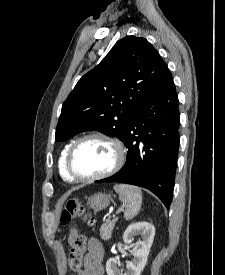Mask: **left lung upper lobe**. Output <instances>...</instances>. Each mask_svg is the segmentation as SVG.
I'll use <instances>...</instances> for the list:
<instances>
[{"label": "left lung upper lobe", "mask_w": 225, "mask_h": 275, "mask_svg": "<svg viewBox=\"0 0 225 275\" xmlns=\"http://www.w3.org/2000/svg\"><path fill=\"white\" fill-rule=\"evenodd\" d=\"M169 74L146 39L127 36L119 40L63 103L55 140L97 130L122 141L136 113Z\"/></svg>", "instance_id": "left-lung-upper-lobe-1"}]
</instances>
